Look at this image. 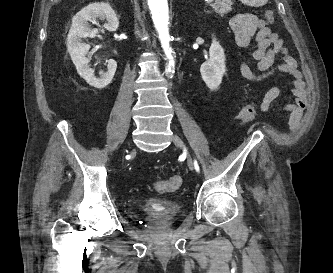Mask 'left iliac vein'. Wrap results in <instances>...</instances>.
<instances>
[{
	"instance_id": "4c4485c4",
	"label": "left iliac vein",
	"mask_w": 333,
	"mask_h": 273,
	"mask_svg": "<svg viewBox=\"0 0 333 273\" xmlns=\"http://www.w3.org/2000/svg\"><path fill=\"white\" fill-rule=\"evenodd\" d=\"M172 140H173L174 144H175L177 147L182 148V149L185 151V153H186V159H187V165H188V167H189L191 170H193L194 165H193L192 157L190 156V154H189L188 151L186 150V148H185V146H184V144H183L181 138H180L177 134H173V136H172Z\"/></svg>"
}]
</instances>
